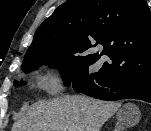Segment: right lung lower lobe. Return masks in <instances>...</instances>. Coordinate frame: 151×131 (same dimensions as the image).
I'll use <instances>...</instances> for the list:
<instances>
[{
	"label": "right lung lower lobe",
	"instance_id": "obj_1",
	"mask_svg": "<svg viewBox=\"0 0 151 131\" xmlns=\"http://www.w3.org/2000/svg\"><path fill=\"white\" fill-rule=\"evenodd\" d=\"M72 87L78 93L97 99L116 101L133 98L151 103V75L76 79Z\"/></svg>",
	"mask_w": 151,
	"mask_h": 131
}]
</instances>
